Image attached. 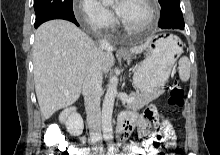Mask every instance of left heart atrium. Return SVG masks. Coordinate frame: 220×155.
Here are the masks:
<instances>
[{
    "label": "left heart atrium",
    "mask_w": 220,
    "mask_h": 155,
    "mask_svg": "<svg viewBox=\"0 0 220 155\" xmlns=\"http://www.w3.org/2000/svg\"><path fill=\"white\" fill-rule=\"evenodd\" d=\"M126 3H127V0H119V2L116 5L115 9L120 16L123 14L125 10Z\"/></svg>",
    "instance_id": "left-heart-atrium-1"
}]
</instances>
